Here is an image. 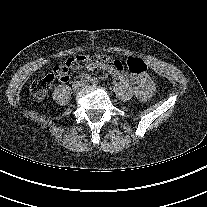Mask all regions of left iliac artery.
<instances>
[{
    "label": "left iliac artery",
    "mask_w": 207,
    "mask_h": 207,
    "mask_svg": "<svg viewBox=\"0 0 207 207\" xmlns=\"http://www.w3.org/2000/svg\"><path fill=\"white\" fill-rule=\"evenodd\" d=\"M98 79L96 78V77H93L92 79H91V83L92 84H94V85H97L98 84Z\"/></svg>",
    "instance_id": "44dca946"
}]
</instances>
